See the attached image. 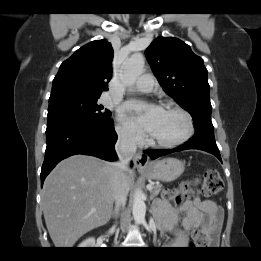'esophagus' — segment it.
<instances>
[{"instance_id":"obj_1","label":"esophagus","mask_w":261,"mask_h":261,"mask_svg":"<svg viewBox=\"0 0 261 261\" xmlns=\"http://www.w3.org/2000/svg\"><path fill=\"white\" fill-rule=\"evenodd\" d=\"M134 165L138 170H143L149 167V156L141 151L137 152L134 157Z\"/></svg>"}]
</instances>
